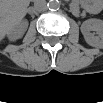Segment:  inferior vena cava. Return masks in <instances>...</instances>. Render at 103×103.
Returning a JSON list of instances; mask_svg holds the SVG:
<instances>
[{
  "instance_id": "602c4592",
  "label": "inferior vena cava",
  "mask_w": 103,
  "mask_h": 103,
  "mask_svg": "<svg viewBox=\"0 0 103 103\" xmlns=\"http://www.w3.org/2000/svg\"><path fill=\"white\" fill-rule=\"evenodd\" d=\"M47 8V3L45 0H36L34 3V9L36 11H45Z\"/></svg>"
}]
</instances>
